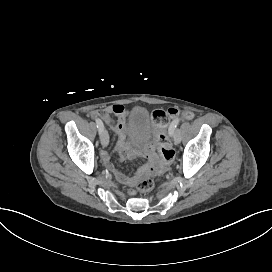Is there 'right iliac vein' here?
Masks as SVG:
<instances>
[{
  "label": "right iliac vein",
  "instance_id": "63e3f726",
  "mask_svg": "<svg viewBox=\"0 0 272 272\" xmlns=\"http://www.w3.org/2000/svg\"><path fill=\"white\" fill-rule=\"evenodd\" d=\"M100 140L103 147H107L109 143V136L106 129H103L100 133Z\"/></svg>",
  "mask_w": 272,
  "mask_h": 272
}]
</instances>
